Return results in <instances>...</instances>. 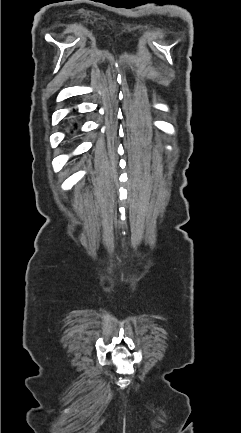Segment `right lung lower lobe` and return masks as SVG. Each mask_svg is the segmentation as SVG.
Masks as SVG:
<instances>
[{
  "label": "right lung lower lobe",
  "instance_id": "right-lung-lower-lobe-1",
  "mask_svg": "<svg viewBox=\"0 0 241 433\" xmlns=\"http://www.w3.org/2000/svg\"><path fill=\"white\" fill-rule=\"evenodd\" d=\"M76 127H77V125H76V123H74V124H73V128H76Z\"/></svg>",
  "mask_w": 241,
  "mask_h": 433
}]
</instances>
